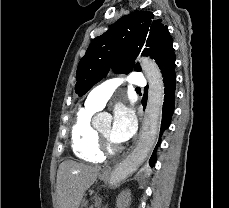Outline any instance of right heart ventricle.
Returning a JSON list of instances; mask_svg holds the SVG:
<instances>
[{"instance_id":"right-heart-ventricle-1","label":"right heart ventricle","mask_w":229,"mask_h":208,"mask_svg":"<svg viewBox=\"0 0 229 208\" xmlns=\"http://www.w3.org/2000/svg\"><path fill=\"white\" fill-rule=\"evenodd\" d=\"M96 111L85 105L78 111L71 127L72 153L82 162H98L103 157V153L98 152V143H101V140L91 124L92 116Z\"/></svg>"}]
</instances>
